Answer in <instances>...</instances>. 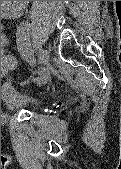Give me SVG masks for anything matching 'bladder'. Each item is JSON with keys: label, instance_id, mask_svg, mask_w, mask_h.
<instances>
[{"label": "bladder", "instance_id": "bladder-1", "mask_svg": "<svg viewBox=\"0 0 121 169\" xmlns=\"http://www.w3.org/2000/svg\"><path fill=\"white\" fill-rule=\"evenodd\" d=\"M1 100L10 110L26 108L34 110L39 103L32 97L24 94L17 87L10 83H5L1 87Z\"/></svg>", "mask_w": 121, "mask_h": 169}]
</instances>
